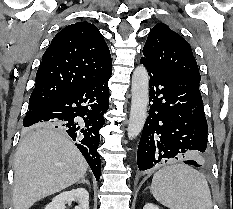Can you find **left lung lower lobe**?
Here are the masks:
<instances>
[{
    "label": "left lung lower lobe",
    "mask_w": 233,
    "mask_h": 209,
    "mask_svg": "<svg viewBox=\"0 0 233 209\" xmlns=\"http://www.w3.org/2000/svg\"><path fill=\"white\" fill-rule=\"evenodd\" d=\"M141 64L150 76V109L137 151L139 170L184 158L190 150L205 152L208 128L199 84L143 57ZM184 163L201 166L198 160Z\"/></svg>",
    "instance_id": "0a47b994"
}]
</instances>
